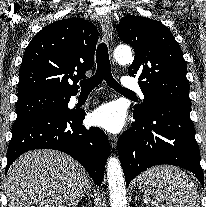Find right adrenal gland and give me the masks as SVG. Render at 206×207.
Wrapping results in <instances>:
<instances>
[{
  "mask_svg": "<svg viewBox=\"0 0 206 207\" xmlns=\"http://www.w3.org/2000/svg\"><path fill=\"white\" fill-rule=\"evenodd\" d=\"M86 196L90 197V188L87 189V191L83 197H86Z\"/></svg>",
  "mask_w": 206,
  "mask_h": 207,
  "instance_id": "2a0ac1e0",
  "label": "right adrenal gland"
}]
</instances>
